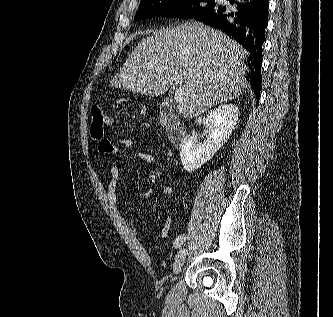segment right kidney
<instances>
[{
	"instance_id": "ca27d5eb",
	"label": "right kidney",
	"mask_w": 333,
	"mask_h": 317,
	"mask_svg": "<svg viewBox=\"0 0 333 317\" xmlns=\"http://www.w3.org/2000/svg\"><path fill=\"white\" fill-rule=\"evenodd\" d=\"M238 114V106L220 105L209 112L205 119L209 134L203 144H196L191 136L184 138L180 147V157L187 172L200 168L227 142L236 126Z\"/></svg>"
}]
</instances>
